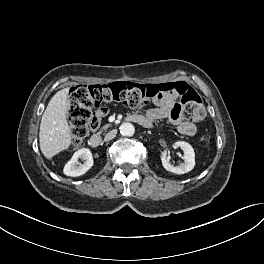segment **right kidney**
<instances>
[{
  "label": "right kidney",
  "mask_w": 264,
  "mask_h": 264,
  "mask_svg": "<svg viewBox=\"0 0 264 264\" xmlns=\"http://www.w3.org/2000/svg\"><path fill=\"white\" fill-rule=\"evenodd\" d=\"M79 158L85 160L83 164L78 165ZM93 163L91 151L88 148H81L66 163L63 173L67 176L78 177L85 174L93 166Z\"/></svg>",
  "instance_id": "right-kidney-1"
}]
</instances>
